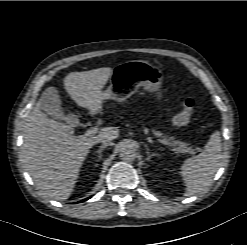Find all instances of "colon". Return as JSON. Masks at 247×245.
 <instances>
[{
    "instance_id": "5ec220e1",
    "label": "colon",
    "mask_w": 247,
    "mask_h": 245,
    "mask_svg": "<svg viewBox=\"0 0 247 245\" xmlns=\"http://www.w3.org/2000/svg\"><path fill=\"white\" fill-rule=\"evenodd\" d=\"M195 107V101L187 97L182 101V108L179 113L173 117V124L175 126H184L191 120Z\"/></svg>"
}]
</instances>
